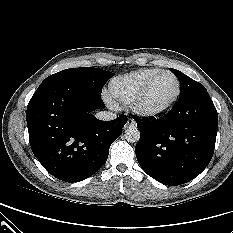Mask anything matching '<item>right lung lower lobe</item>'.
Listing matches in <instances>:
<instances>
[{
	"mask_svg": "<svg viewBox=\"0 0 233 233\" xmlns=\"http://www.w3.org/2000/svg\"><path fill=\"white\" fill-rule=\"evenodd\" d=\"M105 105L88 88L61 83L34 94L27 107L31 149L42 166L66 182L82 181L106 162L127 117L100 121L91 112Z\"/></svg>",
	"mask_w": 233,
	"mask_h": 233,
	"instance_id": "right-lung-lower-lobe-1",
	"label": "right lung lower lobe"
}]
</instances>
